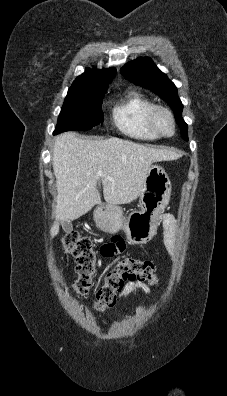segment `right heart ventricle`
<instances>
[{
    "label": "right heart ventricle",
    "instance_id": "1",
    "mask_svg": "<svg viewBox=\"0 0 227 396\" xmlns=\"http://www.w3.org/2000/svg\"><path fill=\"white\" fill-rule=\"evenodd\" d=\"M153 103L135 90H129L112 108V119L123 134L140 140H156L160 136L151 128L148 115Z\"/></svg>",
    "mask_w": 227,
    "mask_h": 396
}]
</instances>
